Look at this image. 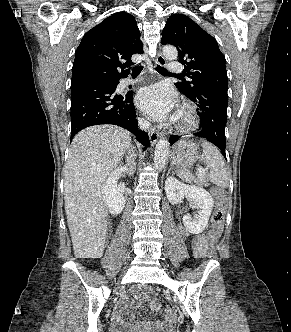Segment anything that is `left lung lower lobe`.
<instances>
[{"label": "left lung lower lobe", "instance_id": "1", "mask_svg": "<svg viewBox=\"0 0 291 332\" xmlns=\"http://www.w3.org/2000/svg\"><path fill=\"white\" fill-rule=\"evenodd\" d=\"M199 108L201 131L194 135L208 139L217 146L224 157L225 154V125L227 121V91L222 90H201L195 96H187ZM180 136H170V143L176 141Z\"/></svg>", "mask_w": 291, "mask_h": 332}]
</instances>
